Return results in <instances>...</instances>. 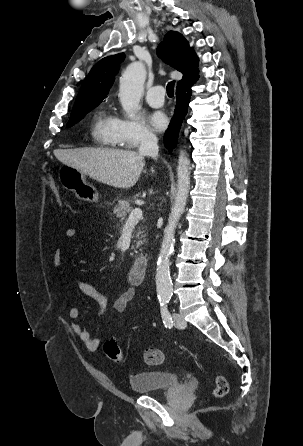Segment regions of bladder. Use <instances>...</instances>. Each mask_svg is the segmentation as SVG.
<instances>
[{
  "mask_svg": "<svg viewBox=\"0 0 303 446\" xmlns=\"http://www.w3.org/2000/svg\"><path fill=\"white\" fill-rule=\"evenodd\" d=\"M130 389L136 394H149L155 391H167L182 385L180 377L168 371L149 370L130 376Z\"/></svg>",
  "mask_w": 303,
  "mask_h": 446,
  "instance_id": "31cf9c89",
  "label": "bladder"
}]
</instances>
